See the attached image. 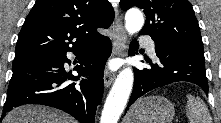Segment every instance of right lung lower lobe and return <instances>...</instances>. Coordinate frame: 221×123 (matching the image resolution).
Returning a JSON list of instances; mask_svg holds the SVG:
<instances>
[{"label": "right lung lower lobe", "instance_id": "obj_1", "mask_svg": "<svg viewBox=\"0 0 221 123\" xmlns=\"http://www.w3.org/2000/svg\"><path fill=\"white\" fill-rule=\"evenodd\" d=\"M111 50V41L105 36L70 50L81 57L80 65L75 68L79 76L66 73L64 63H70L66 52L13 64L3 110L6 112L24 104H41L63 110L81 123H94L104 91V65ZM88 74L90 79L81 81L79 85L67 82Z\"/></svg>", "mask_w": 221, "mask_h": 123}]
</instances>
